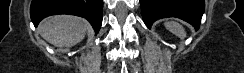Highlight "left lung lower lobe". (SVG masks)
Wrapping results in <instances>:
<instances>
[{
  "label": "left lung lower lobe",
  "mask_w": 244,
  "mask_h": 73,
  "mask_svg": "<svg viewBox=\"0 0 244 73\" xmlns=\"http://www.w3.org/2000/svg\"><path fill=\"white\" fill-rule=\"evenodd\" d=\"M143 21L148 28L158 19L177 17L199 29L204 0H140Z\"/></svg>",
  "instance_id": "left-lung-lower-lobe-1"
}]
</instances>
